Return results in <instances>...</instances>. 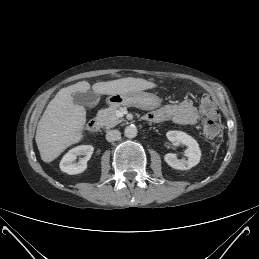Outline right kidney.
<instances>
[{"label":"right kidney","instance_id":"right-kidney-1","mask_svg":"<svg viewBox=\"0 0 259 259\" xmlns=\"http://www.w3.org/2000/svg\"><path fill=\"white\" fill-rule=\"evenodd\" d=\"M93 151L94 147L92 145H80L69 150L60 162L59 166L61 171L69 175L84 172L87 169V161L91 158ZM79 155H84V158H82L79 162L74 163Z\"/></svg>","mask_w":259,"mask_h":259}]
</instances>
